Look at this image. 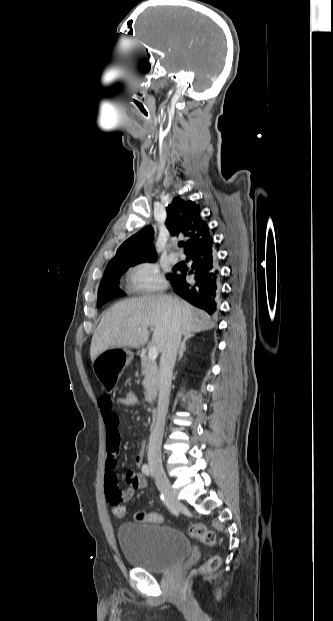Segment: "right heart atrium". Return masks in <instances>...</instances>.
<instances>
[{
    "label": "right heart atrium",
    "instance_id": "d8ad5b80",
    "mask_svg": "<svg viewBox=\"0 0 333 621\" xmlns=\"http://www.w3.org/2000/svg\"><path fill=\"white\" fill-rule=\"evenodd\" d=\"M128 288L134 293H156L165 288V281L152 263L142 262L134 266L127 277Z\"/></svg>",
    "mask_w": 333,
    "mask_h": 621
}]
</instances>
